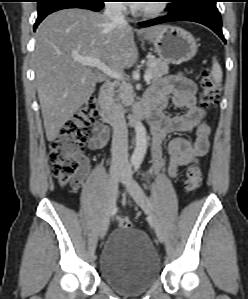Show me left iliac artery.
Segmentation results:
<instances>
[{"mask_svg":"<svg viewBox=\"0 0 248 299\" xmlns=\"http://www.w3.org/2000/svg\"><path fill=\"white\" fill-rule=\"evenodd\" d=\"M140 165H141V162H140V161H136V162H134V169H135V171H138V170H139Z\"/></svg>","mask_w":248,"mask_h":299,"instance_id":"1","label":"left iliac artery"}]
</instances>
